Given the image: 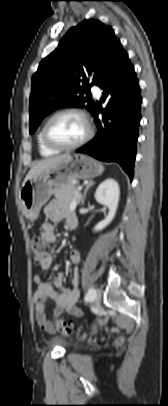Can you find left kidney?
I'll return each instance as SVG.
<instances>
[{"label":"left kidney","instance_id":"obj_1","mask_svg":"<svg viewBox=\"0 0 168 406\" xmlns=\"http://www.w3.org/2000/svg\"><path fill=\"white\" fill-rule=\"evenodd\" d=\"M119 196V185L112 178L106 179L98 186L95 192V199L98 203L108 207L109 212L105 219L94 227V231H100L112 222L117 211Z\"/></svg>","mask_w":168,"mask_h":406}]
</instances>
